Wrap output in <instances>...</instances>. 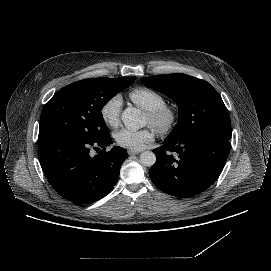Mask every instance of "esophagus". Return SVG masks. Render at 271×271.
I'll list each match as a JSON object with an SVG mask.
<instances>
[{"instance_id": "34e87169", "label": "esophagus", "mask_w": 271, "mask_h": 271, "mask_svg": "<svg viewBox=\"0 0 271 271\" xmlns=\"http://www.w3.org/2000/svg\"><path fill=\"white\" fill-rule=\"evenodd\" d=\"M142 150L141 149H128L129 155L139 154Z\"/></svg>"}]
</instances>
